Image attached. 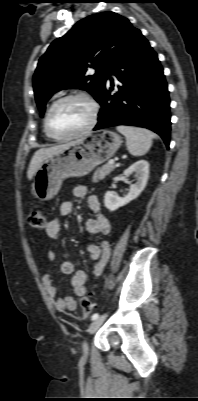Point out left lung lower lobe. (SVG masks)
<instances>
[{
    "label": "left lung lower lobe",
    "instance_id": "1",
    "mask_svg": "<svg viewBox=\"0 0 198 401\" xmlns=\"http://www.w3.org/2000/svg\"><path fill=\"white\" fill-rule=\"evenodd\" d=\"M110 73L122 83L116 93L106 82L94 130L114 125H134L159 134L167 147L170 141V99L156 52L137 30Z\"/></svg>",
    "mask_w": 198,
    "mask_h": 401
}]
</instances>
